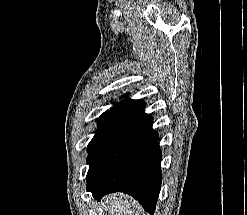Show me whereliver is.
Wrapping results in <instances>:
<instances>
[{
  "label": "liver",
  "instance_id": "1",
  "mask_svg": "<svg viewBox=\"0 0 247 215\" xmlns=\"http://www.w3.org/2000/svg\"><path fill=\"white\" fill-rule=\"evenodd\" d=\"M104 205L108 215H142L141 206L124 194L109 195Z\"/></svg>",
  "mask_w": 247,
  "mask_h": 215
}]
</instances>
